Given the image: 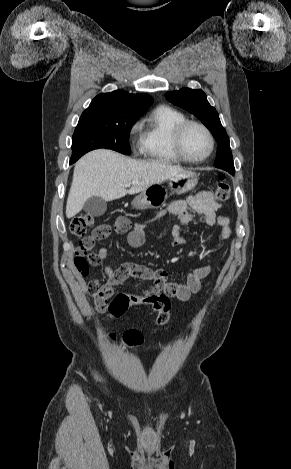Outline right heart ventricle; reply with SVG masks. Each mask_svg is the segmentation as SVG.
Instances as JSON below:
<instances>
[{
    "mask_svg": "<svg viewBox=\"0 0 291 469\" xmlns=\"http://www.w3.org/2000/svg\"><path fill=\"white\" fill-rule=\"evenodd\" d=\"M186 116L170 106L156 107L142 123L141 152L145 158L160 163H179L173 148V131Z\"/></svg>",
    "mask_w": 291,
    "mask_h": 469,
    "instance_id": "obj_1",
    "label": "right heart ventricle"
}]
</instances>
